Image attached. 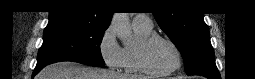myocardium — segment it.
<instances>
[{"mask_svg": "<svg viewBox=\"0 0 255 79\" xmlns=\"http://www.w3.org/2000/svg\"><path fill=\"white\" fill-rule=\"evenodd\" d=\"M157 39H161L165 42H167L173 49L175 53V64L166 71H155L153 70L147 62V51L150 45ZM137 63L140 68V70L147 74V75H153V76H166L174 73L177 71L182 64V53L177 44L170 39L169 37L162 35V34H151L149 37L144 39L138 46L137 49Z\"/></svg>", "mask_w": 255, "mask_h": 79, "instance_id": "1", "label": "myocardium"}]
</instances>
